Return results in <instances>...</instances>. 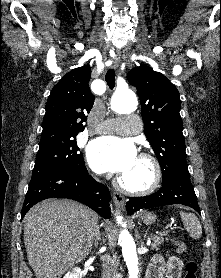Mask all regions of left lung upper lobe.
Here are the masks:
<instances>
[{
  "label": "left lung upper lobe",
  "instance_id": "obj_1",
  "mask_svg": "<svg viewBox=\"0 0 221 278\" xmlns=\"http://www.w3.org/2000/svg\"><path fill=\"white\" fill-rule=\"evenodd\" d=\"M127 79L137 88L145 135L159 161L163 179L187 168L177 88L162 73L145 65L133 68Z\"/></svg>",
  "mask_w": 221,
  "mask_h": 278
}]
</instances>
